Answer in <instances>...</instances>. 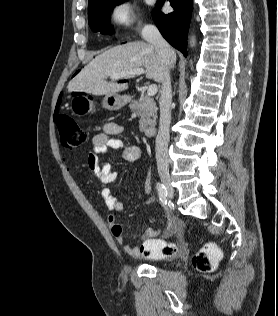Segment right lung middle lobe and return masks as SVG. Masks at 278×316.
<instances>
[{"instance_id":"obj_1","label":"right lung middle lobe","mask_w":278,"mask_h":316,"mask_svg":"<svg viewBox=\"0 0 278 316\" xmlns=\"http://www.w3.org/2000/svg\"><path fill=\"white\" fill-rule=\"evenodd\" d=\"M125 0H106L100 2L92 9L88 10L89 25L94 32H100L102 34H111L110 28V11L115 4H120Z\"/></svg>"}]
</instances>
